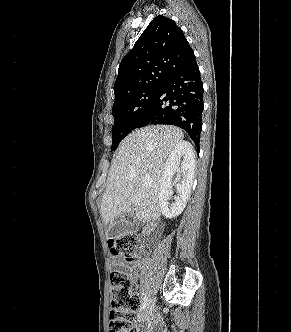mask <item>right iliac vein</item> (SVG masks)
<instances>
[{
    "mask_svg": "<svg viewBox=\"0 0 291 332\" xmlns=\"http://www.w3.org/2000/svg\"><path fill=\"white\" fill-rule=\"evenodd\" d=\"M154 307H155V302L153 299H150L146 308L144 309L143 313L141 314L140 320H142V321L146 320L151 315Z\"/></svg>",
    "mask_w": 291,
    "mask_h": 332,
    "instance_id": "63e3f726",
    "label": "right iliac vein"
}]
</instances>
